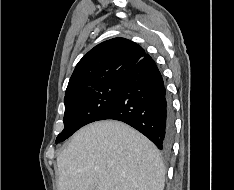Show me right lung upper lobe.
Wrapping results in <instances>:
<instances>
[{
    "label": "right lung upper lobe",
    "mask_w": 234,
    "mask_h": 190,
    "mask_svg": "<svg viewBox=\"0 0 234 190\" xmlns=\"http://www.w3.org/2000/svg\"><path fill=\"white\" fill-rule=\"evenodd\" d=\"M145 55L141 46L125 38H113L98 44L76 65L65 98L79 91L122 80Z\"/></svg>",
    "instance_id": "1"
}]
</instances>
